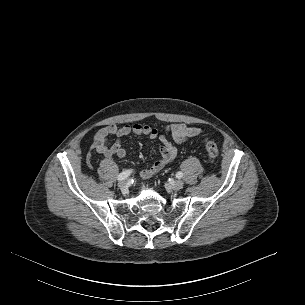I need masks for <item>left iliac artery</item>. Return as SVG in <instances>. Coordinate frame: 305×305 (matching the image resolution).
<instances>
[{"label": "left iliac artery", "mask_w": 305, "mask_h": 305, "mask_svg": "<svg viewBox=\"0 0 305 305\" xmlns=\"http://www.w3.org/2000/svg\"><path fill=\"white\" fill-rule=\"evenodd\" d=\"M182 176H183V173L181 171L177 172V174H176L177 178L180 179V178H182Z\"/></svg>", "instance_id": "obj_1"}]
</instances>
